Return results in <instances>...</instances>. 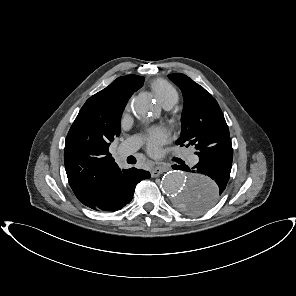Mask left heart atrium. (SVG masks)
I'll return each mask as SVG.
<instances>
[{
  "label": "left heart atrium",
  "instance_id": "left-heart-atrium-1",
  "mask_svg": "<svg viewBox=\"0 0 296 296\" xmlns=\"http://www.w3.org/2000/svg\"><path fill=\"white\" fill-rule=\"evenodd\" d=\"M169 139V131L163 126H155L146 132L145 143L149 152L155 153L159 146Z\"/></svg>",
  "mask_w": 296,
  "mask_h": 296
}]
</instances>
